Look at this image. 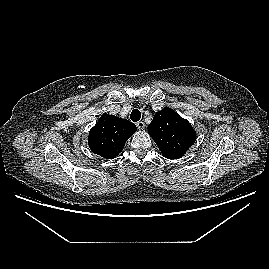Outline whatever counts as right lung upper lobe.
I'll return each mask as SVG.
<instances>
[{
    "label": "right lung upper lobe",
    "mask_w": 269,
    "mask_h": 269,
    "mask_svg": "<svg viewBox=\"0 0 269 269\" xmlns=\"http://www.w3.org/2000/svg\"><path fill=\"white\" fill-rule=\"evenodd\" d=\"M137 128L132 122L114 115L103 114L90 130L88 145L91 151L105 159L115 158Z\"/></svg>",
    "instance_id": "cb5924a9"
}]
</instances>
